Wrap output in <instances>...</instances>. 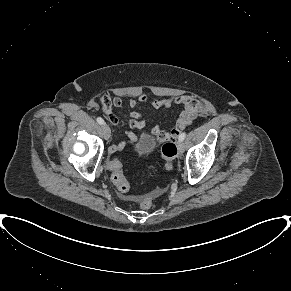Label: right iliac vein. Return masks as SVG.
<instances>
[{"label": "right iliac vein", "mask_w": 291, "mask_h": 291, "mask_svg": "<svg viewBox=\"0 0 291 291\" xmlns=\"http://www.w3.org/2000/svg\"><path fill=\"white\" fill-rule=\"evenodd\" d=\"M102 130H103V134H104V138L105 139H109L111 136V129L107 124H103L102 125Z\"/></svg>", "instance_id": "obj_1"}]
</instances>
